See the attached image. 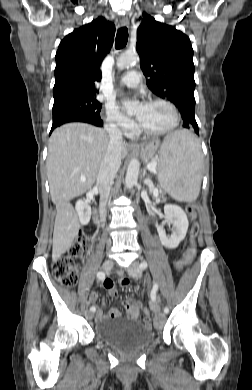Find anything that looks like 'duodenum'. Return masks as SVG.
I'll list each match as a JSON object with an SVG mask.
<instances>
[{"label":"duodenum","instance_id":"1","mask_svg":"<svg viewBox=\"0 0 252 390\" xmlns=\"http://www.w3.org/2000/svg\"><path fill=\"white\" fill-rule=\"evenodd\" d=\"M96 222H97V223L99 222V219H98V218L96 219Z\"/></svg>","mask_w":252,"mask_h":390}]
</instances>
